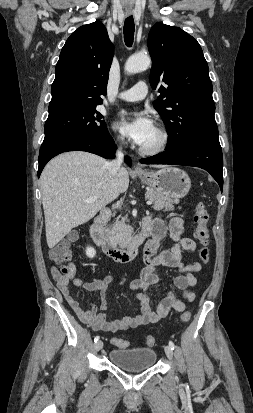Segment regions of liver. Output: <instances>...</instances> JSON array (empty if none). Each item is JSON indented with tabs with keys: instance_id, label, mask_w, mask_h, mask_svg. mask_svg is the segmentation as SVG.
Segmentation results:
<instances>
[{
	"instance_id": "6515ba94",
	"label": "liver",
	"mask_w": 253,
	"mask_h": 413,
	"mask_svg": "<svg viewBox=\"0 0 253 413\" xmlns=\"http://www.w3.org/2000/svg\"><path fill=\"white\" fill-rule=\"evenodd\" d=\"M128 186V171L120 167L112 176L108 162L98 155L72 151L53 158L40 176L48 247L53 248L73 228L92 219ZM94 196L96 200L87 202Z\"/></svg>"
}]
</instances>
